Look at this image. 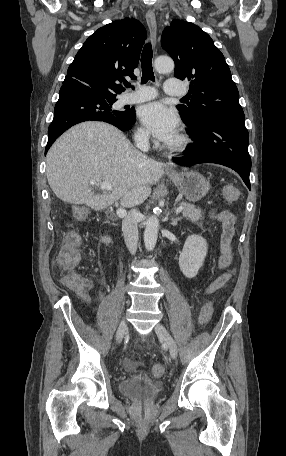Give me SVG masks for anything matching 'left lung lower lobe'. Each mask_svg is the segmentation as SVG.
<instances>
[{"instance_id": "obj_1", "label": "left lung lower lobe", "mask_w": 286, "mask_h": 456, "mask_svg": "<svg viewBox=\"0 0 286 456\" xmlns=\"http://www.w3.org/2000/svg\"><path fill=\"white\" fill-rule=\"evenodd\" d=\"M194 144L185 156L173 158L179 165L216 163L235 170L249 189L251 159L249 136L244 122L221 117H207L187 131Z\"/></svg>"}]
</instances>
